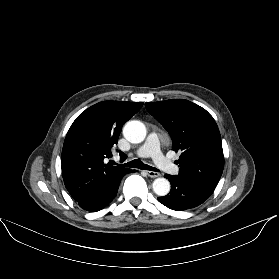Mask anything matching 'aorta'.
I'll use <instances>...</instances> for the list:
<instances>
[{"label":"aorta","instance_id":"762f6f07","mask_svg":"<svg viewBox=\"0 0 279 279\" xmlns=\"http://www.w3.org/2000/svg\"><path fill=\"white\" fill-rule=\"evenodd\" d=\"M124 137L131 143H141L146 137V127L140 121H129L123 129ZM171 188L170 182L166 178H157L153 182V191L158 196H165Z\"/></svg>","mask_w":279,"mask_h":279}]
</instances>
